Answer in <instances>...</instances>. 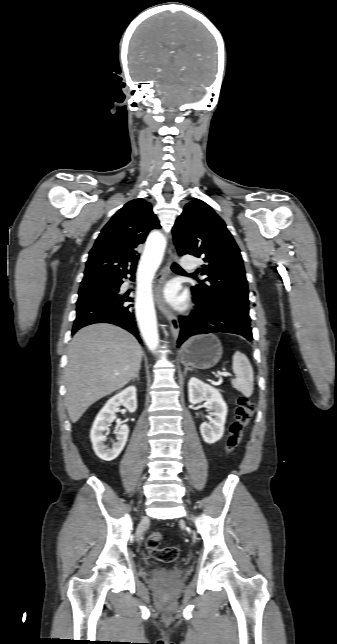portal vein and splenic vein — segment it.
Listing matches in <instances>:
<instances>
[{
	"label": "portal vein and splenic vein",
	"instance_id": "1",
	"mask_svg": "<svg viewBox=\"0 0 337 644\" xmlns=\"http://www.w3.org/2000/svg\"><path fill=\"white\" fill-rule=\"evenodd\" d=\"M219 375H220V376H224V377L231 376V374H230V373H228V372H220V373H219Z\"/></svg>",
	"mask_w": 337,
	"mask_h": 644
}]
</instances>
